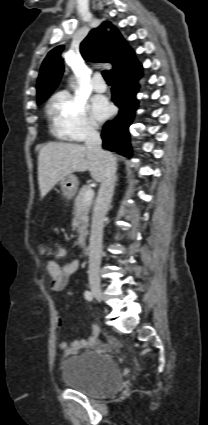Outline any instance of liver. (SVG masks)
<instances>
[{
	"mask_svg": "<svg viewBox=\"0 0 208 425\" xmlns=\"http://www.w3.org/2000/svg\"><path fill=\"white\" fill-rule=\"evenodd\" d=\"M87 170L96 182H101L105 170L104 162L86 146L63 142L47 143L40 149L38 155L41 198H44L64 177L73 172Z\"/></svg>",
	"mask_w": 208,
	"mask_h": 425,
	"instance_id": "obj_1",
	"label": "liver"
}]
</instances>
